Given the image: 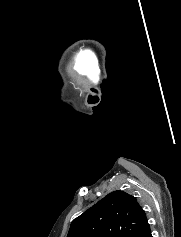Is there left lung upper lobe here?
Masks as SVG:
<instances>
[{"mask_svg":"<svg viewBox=\"0 0 181 237\" xmlns=\"http://www.w3.org/2000/svg\"><path fill=\"white\" fill-rule=\"evenodd\" d=\"M148 226L136 198L117 190L74 219L67 237H140Z\"/></svg>","mask_w":181,"mask_h":237,"instance_id":"1","label":"left lung upper lobe"}]
</instances>
